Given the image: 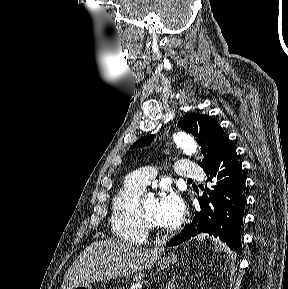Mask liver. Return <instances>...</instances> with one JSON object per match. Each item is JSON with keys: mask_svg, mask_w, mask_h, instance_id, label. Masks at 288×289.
Segmentation results:
<instances>
[{"mask_svg": "<svg viewBox=\"0 0 288 289\" xmlns=\"http://www.w3.org/2000/svg\"><path fill=\"white\" fill-rule=\"evenodd\" d=\"M163 252L161 247L145 249L111 239L96 241L68 268L61 289L128 276L153 266Z\"/></svg>", "mask_w": 288, "mask_h": 289, "instance_id": "1", "label": "liver"}]
</instances>
